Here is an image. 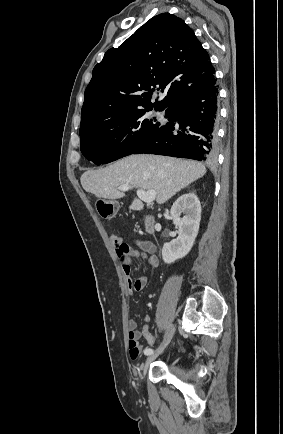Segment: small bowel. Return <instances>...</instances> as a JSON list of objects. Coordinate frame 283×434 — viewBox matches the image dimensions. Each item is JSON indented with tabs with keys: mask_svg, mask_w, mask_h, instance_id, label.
I'll list each match as a JSON object with an SVG mask.
<instances>
[{
	"mask_svg": "<svg viewBox=\"0 0 283 434\" xmlns=\"http://www.w3.org/2000/svg\"><path fill=\"white\" fill-rule=\"evenodd\" d=\"M111 240L115 246L116 254L122 262V268L127 278L129 291L132 293L142 290L147 285V277L142 275L136 280L131 278L134 266L133 258L141 256L150 267H157L159 259L156 255L154 245L142 240H134L133 245H131L124 242L123 239L118 236H112ZM144 320L145 324L141 330L137 328V322L133 319H131L128 324V346L129 354L132 359H137L142 352V347L139 343L141 338H145L150 346H154L157 343V340L149 330V317L146 316Z\"/></svg>",
	"mask_w": 283,
	"mask_h": 434,
	"instance_id": "c3829d8e",
	"label": "small bowel"
}]
</instances>
